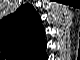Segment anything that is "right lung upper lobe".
<instances>
[{"instance_id": "right-lung-upper-lobe-1", "label": "right lung upper lobe", "mask_w": 80, "mask_h": 60, "mask_svg": "<svg viewBox=\"0 0 80 60\" xmlns=\"http://www.w3.org/2000/svg\"><path fill=\"white\" fill-rule=\"evenodd\" d=\"M0 39L5 51L27 59L46 45L44 28L34 7L25 4L0 22Z\"/></svg>"}]
</instances>
